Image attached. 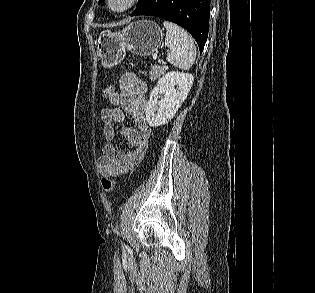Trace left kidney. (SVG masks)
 Here are the masks:
<instances>
[{
    "mask_svg": "<svg viewBox=\"0 0 315 293\" xmlns=\"http://www.w3.org/2000/svg\"><path fill=\"white\" fill-rule=\"evenodd\" d=\"M194 77L189 73L171 71L159 79L146 107V119L151 127L168 123L187 98ZM159 94H163L161 101Z\"/></svg>",
    "mask_w": 315,
    "mask_h": 293,
    "instance_id": "obj_1",
    "label": "left kidney"
}]
</instances>
